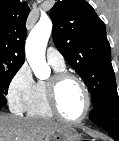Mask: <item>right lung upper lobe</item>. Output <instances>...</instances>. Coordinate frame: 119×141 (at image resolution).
<instances>
[{
    "label": "right lung upper lobe",
    "mask_w": 119,
    "mask_h": 141,
    "mask_svg": "<svg viewBox=\"0 0 119 141\" xmlns=\"http://www.w3.org/2000/svg\"><path fill=\"white\" fill-rule=\"evenodd\" d=\"M29 11L25 2L0 0V68L23 65Z\"/></svg>",
    "instance_id": "cb5924a9"
}]
</instances>
